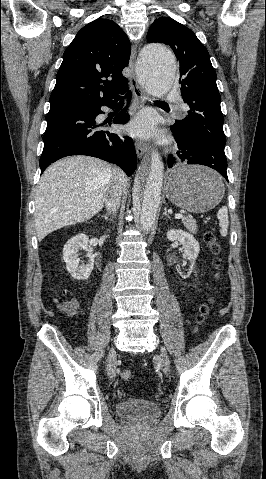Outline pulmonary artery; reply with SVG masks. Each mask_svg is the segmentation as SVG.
Wrapping results in <instances>:
<instances>
[{
  "mask_svg": "<svg viewBox=\"0 0 266 479\" xmlns=\"http://www.w3.org/2000/svg\"><path fill=\"white\" fill-rule=\"evenodd\" d=\"M178 97V91L176 89L170 88L164 93V99L171 101L174 100ZM182 110H186V106L183 104L182 105Z\"/></svg>",
  "mask_w": 266,
  "mask_h": 479,
  "instance_id": "1",
  "label": "pulmonary artery"
}]
</instances>
